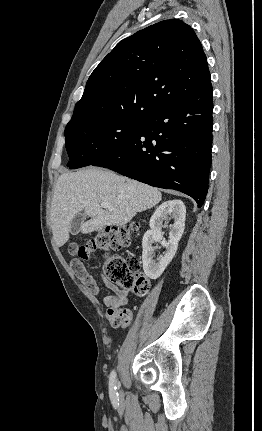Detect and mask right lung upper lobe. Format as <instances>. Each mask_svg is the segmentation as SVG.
I'll return each instance as SVG.
<instances>
[{
    "label": "right lung upper lobe",
    "mask_w": 262,
    "mask_h": 431,
    "mask_svg": "<svg viewBox=\"0 0 262 431\" xmlns=\"http://www.w3.org/2000/svg\"><path fill=\"white\" fill-rule=\"evenodd\" d=\"M210 84L207 59L193 29L181 20L161 21L119 42L100 62L67 126L145 118Z\"/></svg>",
    "instance_id": "obj_1"
}]
</instances>
